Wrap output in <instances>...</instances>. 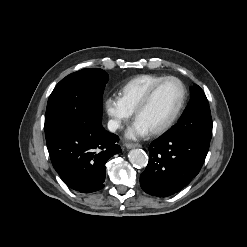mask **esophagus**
<instances>
[{"label": "esophagus", "mask_w": 247, "mask_h": 247, "mask_svg": "<svg viewBox=\"0 0 247 247\" xmlns=\"http://www.w3.org/2000/svg\"><path fill=\"white\" fill-rule=\"evenodd\" d=\"M138 147H141V145L138 144V143H127V144H126V148H127V149L138 148Z\"/></svg>", "instance_id": "obj_1"}]
</instances>
